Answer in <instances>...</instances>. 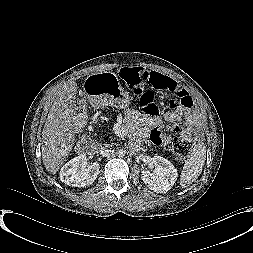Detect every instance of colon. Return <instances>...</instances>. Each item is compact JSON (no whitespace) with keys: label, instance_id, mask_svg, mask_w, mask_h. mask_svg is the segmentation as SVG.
<instances>
[{"label":"colon","instance_id":"obj_1","mask_svg":"<svg viewBox=\"0 0 253 253\" xmlns=\"http://www.w3.org/2000/svg\"><path fill=\"white\" fill-rule=\"evenodd\" d=\"M121 78L125 81L129 91L140 98L142 110L150 116L158 115L160 111L157 93L164 91L170 95L171 106L188 107L191 104V97L181 89L170 86L160 75L147 71L140 67H126L120 72ZM78 118L84 121V108L78 109ZM194 143V132L188 130L175 138L172 144L174 158L182 162L188 156Z\"/></svg>","mask_w":253,"mask_h":253}]
</instances>
